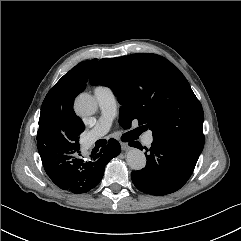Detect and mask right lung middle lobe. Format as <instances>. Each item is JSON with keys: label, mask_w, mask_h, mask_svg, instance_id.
Here are the masks:
<instances>
[{"label": "right lung middle lobe", "mask_w": 241, "mask_h": 241, "mask_svg": "<svg viewBox=\"0 0 241 241\" xmlns=\"http://www.w3.org/2000/svg\"><path fill=\"white\" fill-rule=\"evenodd\" d=\"M78 141H79V139H77V140H75V141H73V142H71V143H66V144H64V145H62V146H57V147H55V146H48V148H50V149L53 150V151L58 150V149H60V148H62V147L77 148V147H79ZM38 148H40V147L38 146Z\"/></svg>", "instance_id": "1"}]
</instances>
